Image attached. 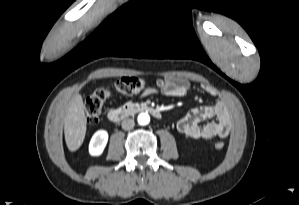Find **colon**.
I'll list each match as a JSON object with an SVG mask.
<instances>
[{
	"mask_svg": "<svg viewBox=\"0 0 299 205\" xmlns=\"http://www.w3.org/2000/svg\"><path fill=\"white\" fill-rule=\"evenodd\" d=\"M166 82L158 79L154 83H150L139 77H122L118 79L114 85L116 92L122 95H133L140 93L147 88H164ZM112 91L109 88L102 87L96 89L87 99L85 103L86 122L92 126L98 123L104 103L110 98ZM218 150L224 148V143L218 141L214 144Z\"/></svg>",
	"mask_w": 299,
	"mask_h": 205,
	"instance_id": "colon-1",
	"label": "colon"
}]
</instances>
